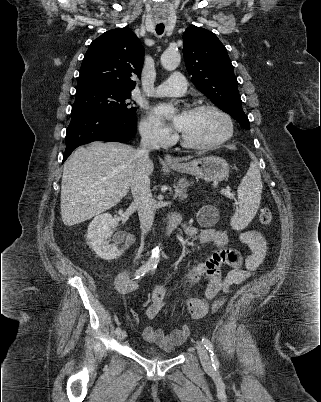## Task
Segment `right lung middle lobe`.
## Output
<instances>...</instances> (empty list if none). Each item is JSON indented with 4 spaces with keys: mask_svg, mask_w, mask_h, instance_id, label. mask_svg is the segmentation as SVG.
I'll return each mask as SVG.
<instances>
[{
    "mask_svg": "<svg viewBox=\"0 0 321 402\" xmlns=\"http://www.w3.org/2000/svg\"><path fill=\"white\" fill-rule=\"evenodd\" d=\"M131 92L98 84L77 85L71 116L92 113L107 116H135L130 106Z\"/></svg>",
    "mask_w": 321,
    "mask_h": 402,
    "instance_id": "dd1d6c3e",
    "label": "right lung middle lobe"
}]
</instances>
